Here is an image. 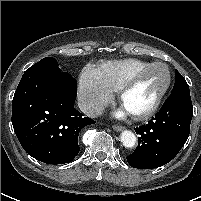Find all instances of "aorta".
<instances>
[{
    "instance_id": "1",
    "label": "aorta",
    "mask_w": 201,
    "mask_h": 201,
    "mask_svg": "<svg viewBox=\"0 0 201 201\" xmlns=\"http://www.w3.org/2000/svg\"><path fill=\"white\" fill-rule=\"evenodd\" d=\"M120 140L126 148H132L136 144V136L129 130H125L121 133Z\"/></svg>"
}]
</instances>
